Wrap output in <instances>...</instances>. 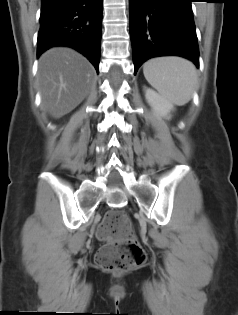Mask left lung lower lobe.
Segmentation results:
<instances>
[{
    "mask_svg": "<svg viewBox=\"0 0 238 315\" xmlns=\"http://www.w3.org/2000/svg\"><path fill=\"white\" fill-rule=\"evenodd\" d=\"M192 1L130 0L134 74L142 63L158 56H181L199 66Z\"/></svg>",
    "mask_w": 238,
    "mask_h": 315,
    "instance_id": "0a47b994",
    "label": "left lung lower lobe"
}]
</instances>
